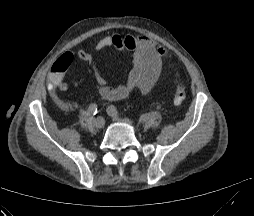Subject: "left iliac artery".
<instances>
[{
	"label": "left iliac artery",
	"mask_w": 254,
	"mask_h": 216,
	"mask_svg": "<svg viewBox=\"0 0 254 216\" xmlns=\"http://www.w3.org/2000/svg\"><path fill=\"white\" fill-rule=\"evenodd\" d=\"M107 110H108V112H111V113H113V114H115V115H119V111H118L117 108H116L115 106H113V105L109 106Z\"/></svg>",
	"instance_id": "1"
}]
</instances>
